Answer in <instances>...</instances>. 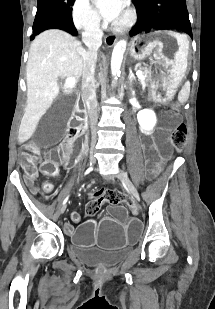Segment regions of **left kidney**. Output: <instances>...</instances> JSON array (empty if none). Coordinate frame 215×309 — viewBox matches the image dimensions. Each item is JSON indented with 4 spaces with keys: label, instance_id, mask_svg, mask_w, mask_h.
Returning <instances> with one entry per match:
<instances>
[{
    "label": "left kidney",
    "instance_id": "left-kidney-1",
    "mask_svg": "<svg viewBox=\"0 0 215 309\" xmlns=\"http://www.w3.org/2000/svg\"><path fill=\"white\" fill-rule=\"evenodd\" d=\"M137 120L141 130H143V132H148V130H152L153 126H155L157 116L151 108H144V110H139V112H137Z\"/></svg>",
    "mask_w": 215,
    "mask_h": 309
}]
</instances>
